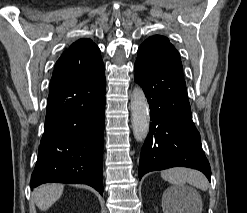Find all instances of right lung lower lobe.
<instances>
[{"label": "right lung lower lobe", "mask_w": 247, "mask_h": 213, "mask_svg": "<svg viewBox=\"0 0 247 213\" xmlns=\"http://www.w3.org/2000/svg\"><path fill=\"white\" fill-rule=\"evenodd\" d=\"M105 91L104 69L49 88L31 189L63 182L87 184L103 193Z\"/></svg>", "instance_id": "obj_1"}]
</instances>
